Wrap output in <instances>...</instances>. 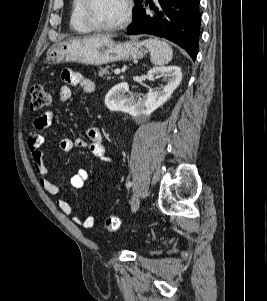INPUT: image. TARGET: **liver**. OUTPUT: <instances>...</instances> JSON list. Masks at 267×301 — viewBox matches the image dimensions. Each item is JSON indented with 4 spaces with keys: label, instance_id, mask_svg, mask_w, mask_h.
I'll return each instance as SVG.
<instances>
[{
    "label": "liver",
    "instance_id": "obj_1",
    "mask_svg": "<svg viewBox=\"0 0 267 301\" xmlns=\"http://www.w3.org/2000/svg\"><path fill=\"white\" fill-rule=\"evenodd\" d=\"M92 37H103V38H109V35H96V36H92Z\"/></svg>",
    "mask_w": 267,
    "mask_h": 301
}]
</instances>
